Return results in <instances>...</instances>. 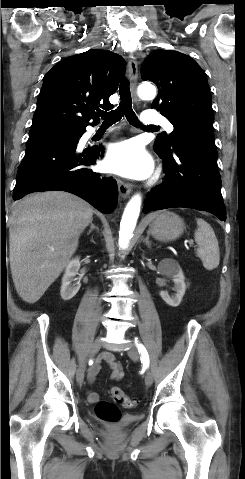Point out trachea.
<instances>
[{
	"instance_id": "obj_1",
	"label": "trachea",
	"mask_w": 245,
	"mask_h": 479,
	"mask_svg": "<svg viewBox=\"0 0 245 479\" xmlns=\"http://www.w3.org/2000/svg\"><path fill=\"white\" fill-rule=\"evenodd\" d=\"M120 103L119 106L110 112L99 111L98 114L104 120L103 124L112 125L120 121L122 117H126L127 121L133 126H141L135 112L132 109V99L127 79L121 81L119 87ZM147 129H155L157 127L147 126Z\"/></svg>"
}]
</instances>
